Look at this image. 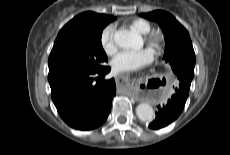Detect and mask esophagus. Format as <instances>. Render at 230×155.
Listing matches in <instances>:
<instances>
[{"instance_id":"obj_1","label":"esophagus","mask_w":230,"mask_h":155,"mask_svg":"<svg viewBox=\"0 0 230 155\" xmlns=\"http://www.w3.org/2000/svg\"><path fill=\"white\" fill-rule=\"evenodd\" d=\"M118 78H122L124 80V77L123 76H119Z\"/></svg>"}]
</instances>
